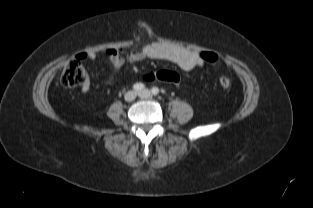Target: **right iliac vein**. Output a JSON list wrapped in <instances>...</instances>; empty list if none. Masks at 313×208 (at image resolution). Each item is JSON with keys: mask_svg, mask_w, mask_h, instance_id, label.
<instances>
[{"mask_svg": "<svg viewBox=\"0 0 313 208\" xmlns=\"http://www.w3.org/2000/svg\"><path fill=\"white\" fill-rule=\"evenodd\" d=\"M137 94L134 91H129L125 94L124 98L127 102H132L136 98Z\"/></svg>", "mask_w": 313, "mask_h": 208, "instance_id": "63e3f726", "label": "right iliac vein"}]
</instances>
